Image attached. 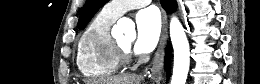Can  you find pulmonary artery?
<instances>
[{
	"instance_id": "obj_1",
	"label": "pulmonary artery",
	"mask_w": 260,
	"mask_h": 84,
	"mask_svg": "<svg viewBox=\"0 0 260 84\" xmlns=\"http://www.w3.org/2000/svg\"><path fill=\"white\" fill-rule=\"evenodd\" d=\"M149 0H128V1H111L104 7V10L111 16L118 18L125 12L148 5Z\"/></svg>"
}]
</instances>
